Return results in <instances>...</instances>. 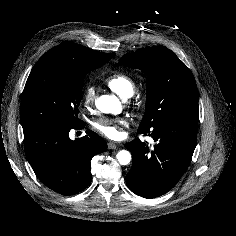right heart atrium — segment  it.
Wrapping results in <instances>:
<instances>
[{
	"label": "right heart atrium",
	"instance_id": "1",
	"mask_svg": "<svg viewBox=\"0 0 236 236\" xmlns=\"http://www.w3.org/2000/svg\"><path fill=\"white\" fill-rule=\"evenodd\" d=\"M95 88L91 85H87L83 91V102L86 106H91L95 100Z\"/></svg>",
	"mask_w": 236,
	"mask_h": 236
}]
</instances>
